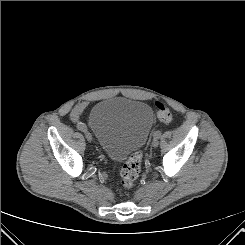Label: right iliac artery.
<instances>
[{
    "label": "right iliac artery",
    "instance_id": "right-iliac-artery-1",
    "mask_svg": "<svg viewBox=\"0 0 245 245\" xmlns=\"http://www.w3.org/2000/svg\"><path fill=\"white\" fill-rule=\"evenodd\" d=\"M77 129L80 130V131L87 130L86 126L83 123H78L77 124Z\"/></svg>",
    "mask_w": 245,
    "mask_h": 245
}]
</instances>
